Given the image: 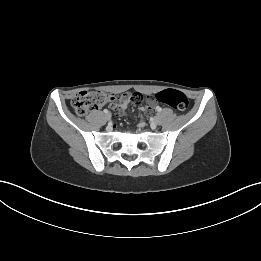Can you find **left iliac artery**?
Here are the masks:
<instances>
[{
  "instance_id": "obj_1",
  "label": "left iliac artery",
  "mask_w": 261,
  "mask_h": 261,
  "mask_svg": "<svg viewBox=\"0 0 261 261\" xmlns=\"http://www.w3.org/2000/svg\"><path fill=\"white\" fill-rule=\"evenodd\" d=\"M156 110H157L158 112H160V111L162 110V108L159 107V106H157V107H156Z\"/></svg>"
}]
</instances>
